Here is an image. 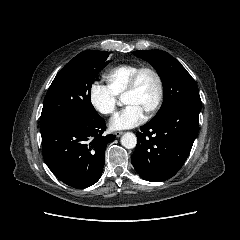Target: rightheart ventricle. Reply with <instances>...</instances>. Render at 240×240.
I'll list each match as a JSON object with an SVG mask.
<instances>
[{"instance_id": "obj_1", "label": "right heart ventricle", "mask_w": 240, "mask_h": 240, "mask_svg": "<svg viewBox=\"0 0 240 240\" xmlns=\"http://www.w3.org/2000/svg\"><path fill=\"white\" fill-rule=\"evenodd\" d=\"M137 68V64H120L111 68L105 74L107 84L116 92V94L123 96L128 81Z\"/></svg>"}]
</instances>
